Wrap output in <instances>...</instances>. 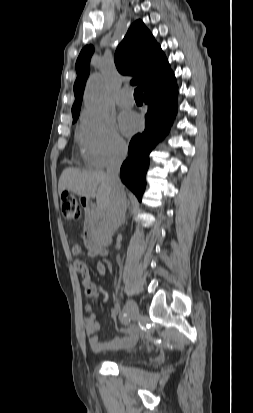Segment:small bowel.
<instances>
[{
  "label": "small bowel",
  "mask_w": 253,
  "mask_h": 413,
  "mask_svg": "<svg viewBox=\"0 0 253 413\" xmlns=\"http://www.w3.org/2000/svg\"><path fill=\"white\" fill-rule=\"evenodd\" d=\"M84 252L85 250L82 245L77 244L73 247V253L76 256H81L84 254ZM101 257L103 258L105 256ZM73 266L75 270L82 276L86 296L92 297L93 294L91 292L97 293V287L91 281L89 268L87 264L81 258H77L74 260ZM96 269L97 273L100 276H104L106 274V266L103 260L98 261ZM86 310L88 315L84 319L85 333L88 337L89 346L94 353L100 354L107 351H116L129 348L138 341L139 330L136 327L132 326L121 328V336H115L105 342H101L97 335L101 326L100 321L97 319L96 315L91 311L90 306H87ZM120 314V306L118 304H114L112 308V316L120 317Z\"/></svg>",
  "instance_id": "obj_1"
}]
</instances>
